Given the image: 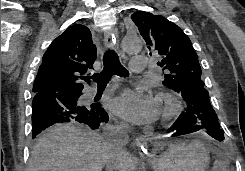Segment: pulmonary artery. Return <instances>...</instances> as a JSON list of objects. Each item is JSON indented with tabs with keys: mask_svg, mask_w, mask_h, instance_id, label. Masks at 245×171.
Here are the masks:
<instances>
[{
	"mask_svg": "<svg viewBox=\"0 0 245 171\" xmlns=\"http://www.w3.org/2000/svg\"><path fill=\"white\" fill-rule=\"evenodd\" d=\"M147 58L143 56H134L132 58L130 67L133 72H143L146 67ZM94 91H91L90 94H93Z\"/></svg>",
	"mask_w": 245,
	"mask_h": 171,
	"instance_id": "obj_1",
	"label": "pulmonary artery"
}]
</instances>
